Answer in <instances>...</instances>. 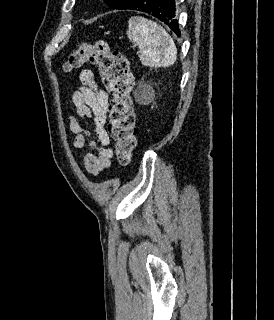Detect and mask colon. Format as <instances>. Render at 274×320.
Masks as SVG:
<instances>
[{
	"instance_id": "5ec220e1",
	"label": "colon",
	"mask_w": 274,
	"mask_h": 320,
	"mask_svg": "<svg viewBox=\"0 0 274 320\" xmlns=\"http://www.w3.org/2000/svg\"><path fill=\"white\" fill-rule=\"evenodd\" d=\"M99 69L107 93L111 96L108 129L115 141V153L122 165L132 161L136 143V120L130 96L133 76L124 54L112 51L107 42L95 41L74 49L65 62V70L79 69L84 64Z\"/></svg>"
}]
</instances>
